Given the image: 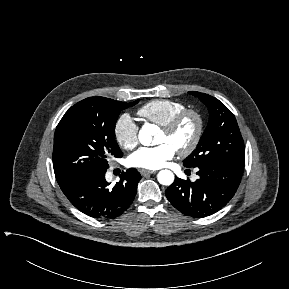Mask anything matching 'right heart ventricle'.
I'll list each match as a JSON object with an SVG mask.
<instances>
[{"label":"right heart ventricle","mask_w":289,"mask_h":289,"mask_svg":"<svg viewBox=\"0 0 289 289\" xmlns=\"http://www.w3.org/2000/svg\"><path fill=\"white\" fill-rule=\"evenodd\" d=\"M184 109H186V106L182 102L156 99L144 104L138 110V114L150 123L163 126Z\"/></svg>","instance_id":"right-heart-ventricle-1"}]
</instances>
